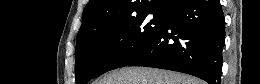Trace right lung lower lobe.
Instances as JSON below:
<instances>
[{
  "mask_svg": "<svg viewBox=\"0 0 260 84\" xmlns=\"http://www.w3.org/2000/svg\"><path fill=\"white\" fill-rule=\"evenodd\" d=\"M225 19L219 0H181L165 13L152 44L129 66L187 73L221 84Z\"/></svg>",
  "mask_w": 260,
  "mask_h": 84,
  "instance_id": "obj_1",
  "label": "right lung lower lobe"
}]
</instances>
